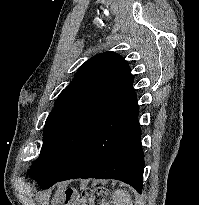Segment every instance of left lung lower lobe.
I'll return each instance as SVG.
<instances>
[{
    "label": "left lung lower lobe",
    "mask_w": 199,
    "mask_h": 205,
    "mask_svg": "<svg viewBox=\"0 0 199 205\" xmlns=\"http://www.w3.org/2000/svg\"><path fill=\"white\" fill-rule=\"evenodd\" d=\"M139 108L134 89L92 131L79 154L58 178L40 185L75 178L116 179L142 192L144 153Z\"/></svg>",
    "instance_id": "1"
}]
</instances>
